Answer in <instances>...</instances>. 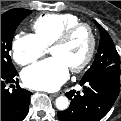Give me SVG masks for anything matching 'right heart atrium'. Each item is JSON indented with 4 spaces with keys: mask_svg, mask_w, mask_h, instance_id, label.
Returning a JSON list of instances; mask_svg holds the SVG:
<instances>
[{
    "mask_svg": "<svg viewBox=\"0 0 121 121\" xmlns=\"http://www.w3.org/2000/svg\"><path fill=\"white\" fill-rule=\"evenodd\" d=\"M12 57L19 65H27L40 58L46 47L39 39L30 33L15 35L12 41Z\"/></svg>",
    "mask_w": 121,
    "mask_h": 121,
    "instance_id": "obj_1",
    "label": "right heart atrium"
}]
</instances>
